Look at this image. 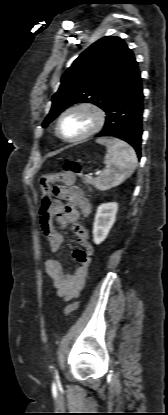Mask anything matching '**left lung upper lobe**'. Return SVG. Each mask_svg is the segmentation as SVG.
I'll return each mask as SVG.
<instances>
[{
    "label": "left lung upper lobe",
    "instance_id": "5c2ea615",
    "mask_svg": "<svg viewBox=\"0 0 168 415\" xmlns=\"http://www.w3.org/2000/svg\"><path fill=\"white\" fill-rule=\"evenodd\" d=\"M137 67L133 52L121 38L107 36L99 39L63 74L43 127L75 103L89 102L105 111Z\"/></svg>",
    "mask_w": 168,
    "mask_h": 415
}]
</instances>
